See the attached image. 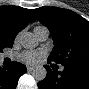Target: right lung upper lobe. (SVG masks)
<instances>
[{
  "instance_id": "obj_1",
  "label": "right lung upper lobe",
  "mask_w": 89,
  "mask_h": 89,
  "mask_svg": "<svg viewBox=\"0 0 89 89\" xmlns=\"http://www.w3.org/2000/svg\"><path fill=\"white\" fill-rule=\"evenodd\" d=\"M35 19L32 11L19 6L0 7V44L12 47L16 35Z\"/></svg>"
}]
</instances>
